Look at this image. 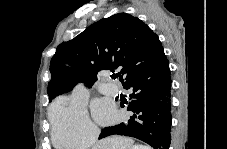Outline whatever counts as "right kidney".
I'll list each match as a JSON object with an SVG mask.
<instances>
[{"label":"right kidney","mask_w":227,"mask_h":149,"mask_svg":"<svg viewBox=\"0 0 227 149\" xmlns=\"http://www.w3.org/2000/svg\"><path fill=\"white\" fill-rule=\"evenodd\" d=\"M131 149H148V147L143 145H134Z\"/></svg>","instance_id":"1"}]
</instances>
